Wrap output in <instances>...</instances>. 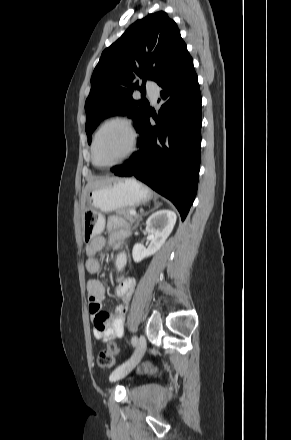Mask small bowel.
<instances>
[{
  "label": "small bowel",
  "mask_w": 291,
  "mask_h": 440,
  "mask_svg": "<svg viewBox=\"0 0 291 440\" xmlns=\"http://www.w3.org/2000/svg\"><path fill=\"white\" fill-rule=\"evenodd\" d=\"M109 236L96 237L86 247L85 267L89 272L96 273L100 270V262L97 255L108 247L118 248L121 242L129 235L128 224L119 219H111L108 224ZM87 293L90 300L89 311L93 315L94 337L101 343H106L112 338L122 335L123 321L128 304L134 291V280L131 278L121 280L115 287V294L121 299V304L112 312L101 310L100 302L105 295L104 285L99 280L87 282ZM144 371L156 372V363H150L142 367Z\"/></svg>",
  "instance_id": "obj_1"
}]
</instances>
